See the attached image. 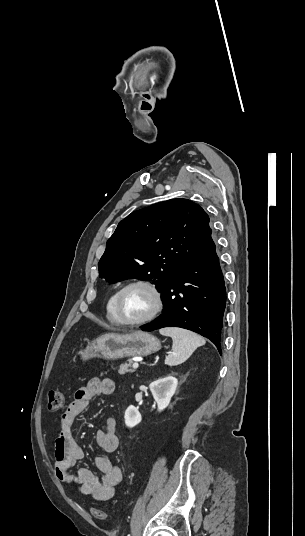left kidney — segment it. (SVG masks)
<instances>
[{
	"label": "left kidney",
	"instance_id": "left-kidney-1",
	"mask_svg": "<svg viewBox=\"0 0 305 536\" xmlns=\"http://www.w3.org/2000/svg\"><path fill=\"white\" fill-rule=\"evenodd\" d=\"M177 386L178 380L177 378H173L171 374H168V376H165V378H159V380H156V382H152V384H150V392H152V396L155 402H157L158 412H161V410H164V408L169 406L170 400L172 396H174ZM124 418L125 424L128 426V428L137 426V424H139V422L142 420V416L140 412H138V408H135V406H128Z\"/></svg>",
	"mask_w": 305,
	"mask_h": 536
}]
</instances>
